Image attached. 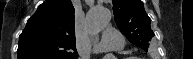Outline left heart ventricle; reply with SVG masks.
Wrapping results in <instances>:
<instances>
[{"label":"left heart ventricle","instance_id":"left-heart-ventricle-1","mask_svg":"<svg viewBox=\"0 0 193 59\" xmlns=\"http://www.w3.org/2000/svg\"><path fill=\"white\" fill-rule=\"evenodd\" d=\"M102 53H104L108 59H113L115 51L111 48H106L102 50Z\"/></svg>","mask_w":193,"mask_h":59}]
</instances>
